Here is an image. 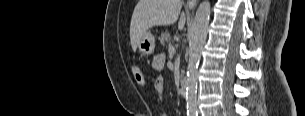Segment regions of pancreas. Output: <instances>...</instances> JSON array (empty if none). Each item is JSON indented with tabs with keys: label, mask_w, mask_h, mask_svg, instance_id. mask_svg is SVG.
Instances as JSON below:
<instances>
[{
	"label": "pancreas",
	"mask_w": 305,
	"mask_h": 116,
	"mask_svg": "<svg viewBox=\"0 0 305 116\" xmlns=\"http://www.w3.org/2000/svg\"><path fill=\"white\" fill-rule=\"evenodd\" d=\"M159 40L162 45H164L165 43H170L171 36H170L169 32L166 31V32L161 33Z\"/></svg>",
	"instance_id": "cf45deb5"
}]
</instances>
